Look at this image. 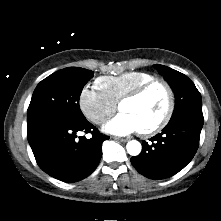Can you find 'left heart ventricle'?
<instances>
[{"label":"left heart ventricle","instance_id":"obj_1","mask_svg":"<svg viewBox=\"0 0 221 221\" xmlns=\"http://www.w3.org/2000/svg\"><path fill=\"white\" fill-rule=\"evenodd\" d=\"M166 104V92L161 86H155L142 97L123 103L120 111L132 115L139 123L140 129H145L162 118Z\"/></svg>","mask_w":221,"mask_h":221}]
</instances>
